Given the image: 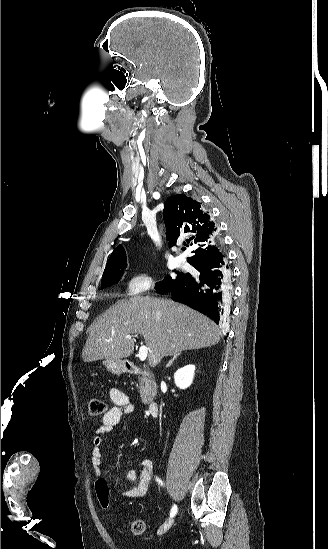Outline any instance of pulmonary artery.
I'll return each mask as SVG.
<instances>
[{
  "label": "pulmonary artery",
  "instance_id": "obj_1",
  "mask_svg": "<svg viewBox=\"0 0 328 549\" xmlns=\"http://www.w3.org/2000/svg\"><path fill=\"white\" fill-rule=\"evenodd\" d=\"M176 265L179 267V268H186L189 266L186 258L184 256H178L176 258V261H175Z\"/></svg>",
  "mask_w": 328,
  "mask_h": 549
}]
</instances>
